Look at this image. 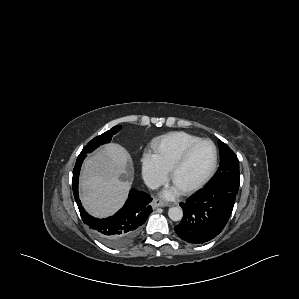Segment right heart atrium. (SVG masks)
I'll list each match as a JSON object with an SVG mask.
<instances>
[{
    "label": "right heart atrium",
    "instance_id": "1",
    "mask_svg": "<svg viewBox=\"0 0 299 299\" xmlns=\"http://www.w3.org/2000/svg\"><path fill=\"white\" fill-rule=\"evenodd\" d=\"M141 169L143 180L151 188L162 185L168 178V171L159 163L155 155L150 152L144 153Z\"/></svg>",
    "mask_w": 299,
    "mask_h": 299
}]
</instances>
